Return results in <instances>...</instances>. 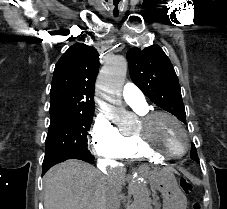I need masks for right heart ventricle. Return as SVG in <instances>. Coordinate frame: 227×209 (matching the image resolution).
<instances>
[{
	"instance_id": "right-heart-ventricle-1",
	"label": "right heart ventricle",
	"mask_w": 227,
	"mask_h": 209,
	"mask_svg": "<svg viewBox=\"0 0 227 209\" xmlns=\"http://www.w3.org/2000/svg\"><path fill=\"white\" fill-rule=\"evenodd\" d=\"M137 110L141 115L147 111L146 108ZM120 158L130 161H146L151 163H159L162 161V159L148 154L136 141L134 135L126 136V143Z\"/></svg>"
}]
</instances>
